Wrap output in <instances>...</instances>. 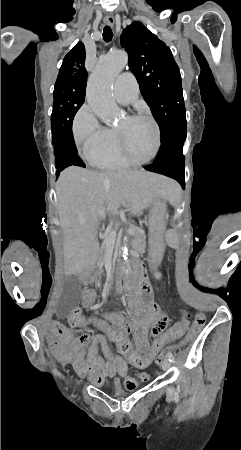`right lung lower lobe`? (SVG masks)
I'll return each mask as SVG.
<instances>
[{"label": "right lung lower lobe", "instance_id": "1", "mask_svg": "<svg viewBox=\"0 0 241 450\" xmlns=\"http://www.w3.org/2000/svg\"><path fill=\"white\" fill-rule=\"evenodd\" d=\"M70 140H71V144H70L69 148L65 152V156L67 158V161L69 162L70 166L71 165H75V166L85 167V164L83 163V161L77 155V149L75 147L72 135L70 137Z\"/></svg>", "mask_w": 241, "mask_h": 450}]
</instances>
